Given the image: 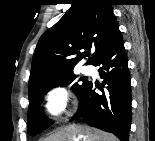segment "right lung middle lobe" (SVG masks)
Instances as JSON below:
<instances>
[{"instance_id":"dd1d6c3e","label":"right lung middle lobe","mask_w":155,"mask_h":141,"mask_svg":"<svg viewBox=\"0 0 155 141\" xmlns=\"http://www.w3.org/2000/svg\"><path fill=\"white\" fill-rule=\"evenodd\" d=\"M76 76L73 74V70L58 74L49 78L42 80L41 82L35 84L34 86L28 88L29 91V110H28V134L36 135L37 133L42 132L50 125L53 124V121L47 119L42 109L40 108L41 101L43 96L52 88L57 86H69L72 85L73 91L77 96L81 93L83 88L88 83L86 78H81L79 81L82 83L74 82Z\"/></svg>"}]
</instances>
